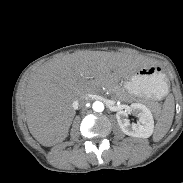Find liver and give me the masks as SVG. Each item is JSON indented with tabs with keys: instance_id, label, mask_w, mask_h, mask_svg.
I'll return each mask as SVG.
<instances>
[{
	"instance_id": "1",
	"label": "liver",
	"mask_w": 183,
	"mask_h": 183,
	"mask_svg": "<svg viewBox=\"0 0 183 183\" xmlns=\"http://www.w3.org/2000/svg\"><path fill=\"white\" fill-rule=\"evenodd\" d=\"M149 65L141 57L104 51H79L44 63L30 74L23 97L30 133L43 146L61 143L75 116V100Z\"/></svg>"
}]
</instances>
